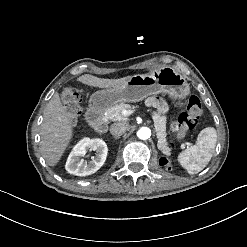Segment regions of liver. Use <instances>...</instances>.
<instances>
[{"mask_svg": "<svg viewBox=\"0 0 247 247\" xmlns=\"http://www.w3.org/2000/svg\"><path fill=\"white\" fill-rule=\"evenodd\" d=\"M83 83L98 87H119L127 78L100 79L89 74L78 78ZM41 151L48 165H54L61 157L70 138V123L66 110L62 107L58 94L49 101L44 111V120L41 124Z\"/></svg>", "mask_w": 247, "mask_h": 247, "instance_id": "6515ba94", "label": "liver"}]
</instances>
